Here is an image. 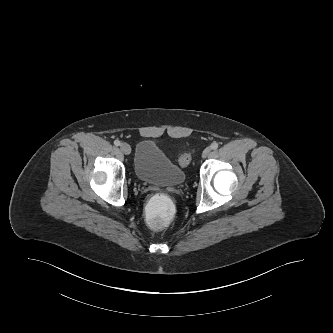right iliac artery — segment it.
I'll list each match as a JSON object with an SVG mask.
<instances>
[{
	"instance_id": "obj_1",
	"label": "right iliac artery",
	"mask_w": 333,
	"mask_h": 333,
	"mask_svg": "<svg viewBox=\"0 0 333 333\" xmlns=\"http://www.w3.org/2000/svg\"><path fill=\"white\" fill-rule=\"evenodd\" d=\"M114 145H115V146H119V145H120V141H119V140H115V141H114Z\"/></svg>"
}]
</instances>
